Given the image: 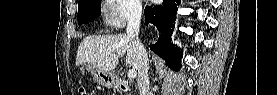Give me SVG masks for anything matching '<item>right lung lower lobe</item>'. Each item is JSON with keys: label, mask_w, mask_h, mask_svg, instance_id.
<instances>
[{"label": "right lung lower lobe", "mask_w": 277, "mask_h": 95, "mask_svg": "<svg viewBox=\"0 0 277 95\" xmlns=\"http://www.w3.org/2000/svg\"><path fill=\"white\" fill-rule=\"evenodd\" d=\"M178 4L179 0H163L162 5L147 6L144 11L146 25L153 23L161 33L160 39L154 45H150V49L176 70L181 67L182 55L179 54V49L172 45L171 35Z\"/></svg>", "instance_id": "98d812e1"}]
</instances>
